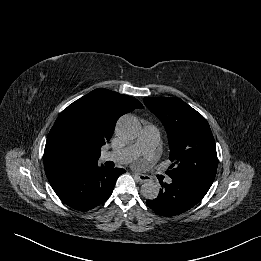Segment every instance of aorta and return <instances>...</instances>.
<instances>
[{
	"label": "aorta",
	"instance_id": "1",
	"mask_svg": "<svg viewBox=\"0 0 261 261\" xmlns=\"http://www.w3.org/2000/svg\"><path fill=\"white\" fill-rule=\"evenodd\" d=\"M118 136L126 141L134 140L141 131V124L135 116L125 115L117 123ZM141 194L148 200H153L159 195V186L153 181H147L141 186Z\"/></svg>",
	"mask_w": 261,
	"mask_h": 261
}]
</instances>
